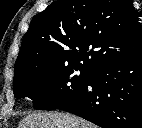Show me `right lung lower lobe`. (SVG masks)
<instances>
[{
	"mask_svg": "<svg viewBox=\"0 0 142 128\" xmlns=\"http://www.w3.org/2000/svg\"><path fill=\"white\" fill-rule=\"evenodd\" d=\"M58 109L102 128H142V50L94 69L84 89Z\"/></svg>",
	"mask_w": 142,
	"mask_h": 128,
	"instance_id": "1",
	"label": "right lung lower lobe"
}]
</instances>
